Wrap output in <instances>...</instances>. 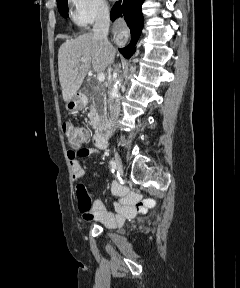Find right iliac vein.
I'll return each instance as SVG.
<instances>
[{
  "instance_id": "right-iliac-vein-1",
  "label": "right iliac vein",
  "mask_w": 240,
  "mask_h": 288,
  "mask_svg": "<svg viewBox=\"0 0 240 288\" xmlns=\"http://www.w3.org/2000/svg\"><path fill=\"white\" fill-rule=\"evenodd\" d=\"M114 163H115V169L121 175L123 173L122 161L120 159L119 154L115 150H114Z\"/></svg>"
}]
</instances>
